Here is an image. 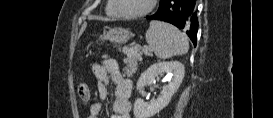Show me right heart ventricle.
I'll list each match as a JSON object with an SVG mask.
<instances>
[{"label": "right heart ventricle", "mask_w": 273, "mask_h": 118, "mask_svg": "<svg viewBox=\"0 0 273 118\" xmlns=\"http://www.w3.org/2000/svg\"><path fill=\"white\" fill-rule=\"evenodd\" d=\"M105 12H106L107 15L113 16V17H116V16L119 15L117 13L116 9L114 8L112 0L108 1L107 5H106V8H105Z\"/></svg>", "instance_id": "right-heart-ventricle-1"}]
</instances>
